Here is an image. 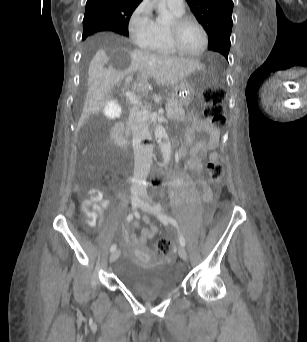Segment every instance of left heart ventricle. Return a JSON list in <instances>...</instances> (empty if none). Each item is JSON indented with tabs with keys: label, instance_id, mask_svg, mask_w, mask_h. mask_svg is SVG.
Segmentation results:
<instances>
[{
	"label": "left heart ventricle",
	"instance_id": "1",
	"mask_svg": "<svg viewBox=\"0 0 307 342\" xmlns=\"http://www.w3.org/2000/svg\"><path fill=\"white\" fill-rule=\"evenodd\" d=\"M181 47L189 53L201 50L204 43V34L201 27L195 22L187 23L179 33Z\"/></svg>",
	"mask_w": 307,
	"mask_h": 342
}]
</instances>
